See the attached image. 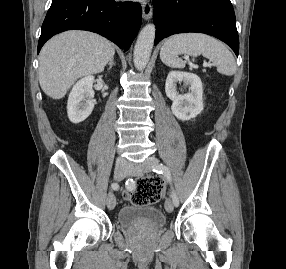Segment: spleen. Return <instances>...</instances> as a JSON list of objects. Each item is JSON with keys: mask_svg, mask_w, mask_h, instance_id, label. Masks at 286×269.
Wrapping results in <instances>:
<instances>
[{"mask_svg": "<svg viewBox=\"0 0 286 269\" xmlns=\"http://www.w3.org/2000/svg\"><path fill=\"white\" fill-rule=\"evenodd\" d=\"M187 54L193 57L202 55L210 59L223 75H233L236 63L232 53L217 39L202 33H182L168 38L160 51L161 61L172 68L182 69L185 62L178 57Z\"/></svg>", "mask_w": 286, "mask_h": 269, "instance_id": "spleen-1", "label": "spleen"}]
</instances>
